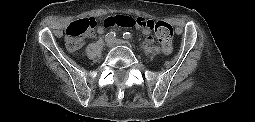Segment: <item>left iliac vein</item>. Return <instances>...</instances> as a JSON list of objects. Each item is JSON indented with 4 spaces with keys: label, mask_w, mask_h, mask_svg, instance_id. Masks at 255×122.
Here are the masks:
<instances>
[{
    "label": "left iliac vein",
    "mask_w": 255,
    "mask_h": 122,
    "mask_svg": "<svg viewBox=\"0 0 255 122\" xmlns=\"http://www.w3.org/2000/svg\"><path fill=\"white\" fill-rule=\"evenodd\" d=\"M113 43L116 44V45H121V44H122V41H121V39H115V40L113 41Z\"/></svg>",
    "instance_id": "obj_1"
}]
</instances>
